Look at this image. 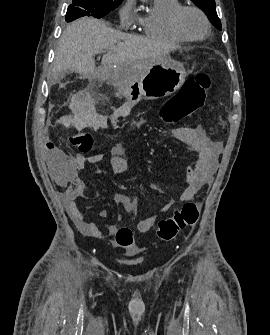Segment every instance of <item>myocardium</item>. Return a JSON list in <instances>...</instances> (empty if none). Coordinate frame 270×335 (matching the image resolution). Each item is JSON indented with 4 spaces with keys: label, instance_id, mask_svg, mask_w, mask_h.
<instances>
[{
    "label": "myocardium",
    "instance_id": "obj_1",
    "mask_svg": "<svg viewBox=\"0 0 270 335\" xmlns=\"http://www.w3.org/2000/svg\"><path fill=\"white\" fill-rule=\"evenodd\" d=\"M188 10H191V11H194V12L198 13L201 16V18L203 19L204 24H205V34L203 36L198 37V38L191 37L183 29L182 24H181V18H182V15ZM171 25H172V28L174 29V31L177 34H179L181 37H183L187 40H191V41L203 40V39L207 38L211 33V25H210V22H209L207 16L205 15V13L202 10H200L199 8L194 7V6H182L181 8L175 10L173 12L172 16H171Z\"/></svg>",
    "mask_w": 270,
    "mask_h": 335
}]
</instances>
